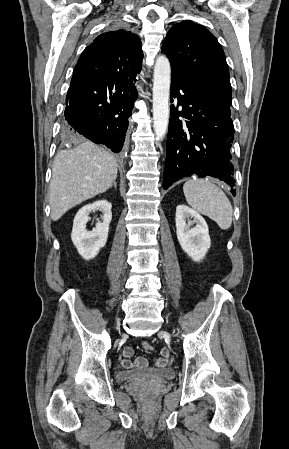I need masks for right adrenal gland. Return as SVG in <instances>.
I'll return each instance as SVG.
<instances>
[{"label":"right adrenal gland","instance_id":"1","mask_svg":"<svg viewBox=\"0 0 289 449\" xmlns=\"http://www.w3.org/2000/svg\"><path fill=\"white\" fill-rule=\"evenodd\" d=\"M112 186H113L115 189H117V183H116L115 181L113 182Z\"/></svg>","mask_w":289,"mask_h":449}]
</instances>
